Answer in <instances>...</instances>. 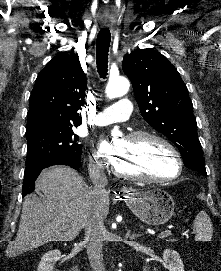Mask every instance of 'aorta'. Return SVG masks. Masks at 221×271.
I'll use <instances>...</instances> for the list:
<instances>
[{
  "instance_id": "aorta-1",
  "label": "aorta",
  "mask_w": 221,
  "mask_h": 271,
  "mask_svg": "<svg viewBox=\"0 0 221 271\" xmlns=\"http://www.w3.org/2000/svg\"><path fill=\"white\" fill-rule=\"evenodd\" d=\"M129 87L128 79L119 77L108 82L105 93L108 98L113 99L125 95Z\"/></svg>"
}]
</instances>
